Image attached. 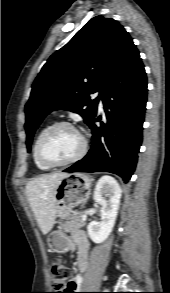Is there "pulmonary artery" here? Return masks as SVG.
I'll list each match as a JSON object with an SVG mask.
<instances>
[{
    "label": "pulmonary artery",
    "mask_w": 170,
    "mask_h": 293,
    "mask_svg": "<svg viewBox=\"0 0 170 293\" xmlns=\"http://www.w3.org/2000/svg\"><path fill=\"white\" fill-rule=\"evenodd\" d=\"M96 95H98V93H97ZM99 108H100V109H102V108H103V103H102V100H100V101H99Z\"/></svg>",
    "instance_id": "obj_1"
}]
</instances>
